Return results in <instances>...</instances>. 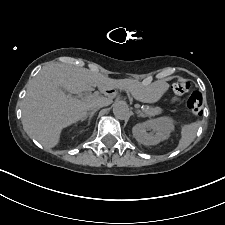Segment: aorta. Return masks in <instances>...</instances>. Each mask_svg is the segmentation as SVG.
I'll return each instance as SVG.
<instances>
[{
  "label": "aorta",
  "mask_w": 225,
  "mask_h": 225,
  "mask_svg": "<svg viewBox=\"0 0 225 225\" xmlns=\"http://www.w3.org/2000/svg\"><path fill=\"white\" fill-rule=\"evenodd\" d=\"M113 113L117 119L126 120L130 117V109L125 102L118 101L113 104Z\"/></svg>",
  "instance_id": "obj_1"
}]
</instances>
